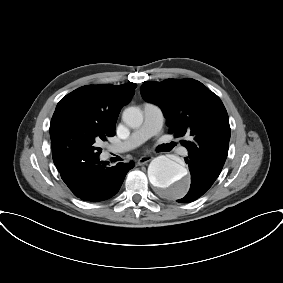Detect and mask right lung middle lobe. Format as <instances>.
I'll return each instance as SVG.
<instances>
[{"label": "right lung middle lobe", "instance_id": "1", "mask_svg": "<svg viewBox=\"0 0 283 283\" xmlns=\"http://www.w3.org/2000/svg\"><path fill=\"white\" fill-rule=\"evenodd\" d=\"M114 134L103 131L93 124L70 122L66 127V156L64 161L81 160L87 155H100L102 149L98 145Z\"/></svg>", "mask_w": 283, "mask_h": 283}]
</instances>
